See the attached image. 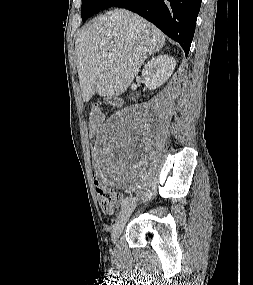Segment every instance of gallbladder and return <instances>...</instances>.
<instances>
[{"label":"gallbladder","mask_w":253,"mask_h":285,"mask_svg":"<svg viewBox=\"0 0 253 285\" xmlns=\"http://www.w3.org/2000/svg\"><path fill=\"white\" fill-rule=\"evenodd\" d=\"M93 91H94V94H96V92H97V83H95V85L93 87Z\"/></svg>","instance_id":"bac80fb5"}]
</instances>
